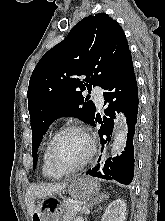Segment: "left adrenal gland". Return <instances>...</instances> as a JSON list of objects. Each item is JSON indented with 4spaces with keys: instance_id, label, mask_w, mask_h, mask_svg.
<instances>
[{
    "instance_id": "1",
    "label": "left adrenal gland",
    "mask_w": 165,
    "mask_h": 221,
    "mask_svg": "<svg viewBox=\"0 0 165 221\" xmlns=\"http://www.w3.org/2000/svg\"><path fill=\"white\" fill-rule=\"evenodd\" d=\"M104 198H107L104 195H100L99 197H97L94 201L90 202L87 205L83 206L82 212H84L85 210H88L90 207L99 204L100 202H102L104 200Z\"/></svg>"
}]
</instances>
